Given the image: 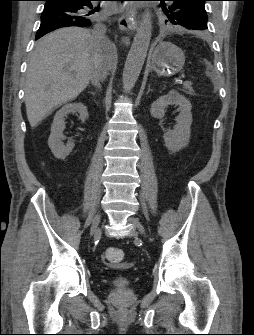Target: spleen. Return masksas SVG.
I'll return each mask as SVG.
<instances>
[{"instance_id":"spleen-1","label":"spleen","mask_w":254,"mask_h":335,"mask_svg":"<svg viewBox=\"0 0 254 335\" xmlns=\"http://www.w3.org/2000/svg\"><path fill=\"white\" fill-rule=\"evenodd\" d=\"M206 74H207V75H210V73H209V72H206Z\"/></svg>"}]
</instances>
